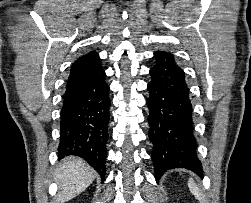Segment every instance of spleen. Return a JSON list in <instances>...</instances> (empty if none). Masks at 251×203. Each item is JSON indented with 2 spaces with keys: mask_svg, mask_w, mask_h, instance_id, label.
Here are the masks:
<instances>
[{
  "mask_svg": "<svg viewBox=\"0 0 251 203\" xmlns=\"http://www.w3.org/2000/svg\"><path fill=\"white\" fill-rule=\"evenodd\" d=\"M188 186H189V189H190L191 193H192L198 200H201V199H202V195H201V193L199 192V189H198L197 185L194 183V181H193L192 179L189 180Z\"/></svg>",
  "mask_w": 251,
  "mask_h": 203,
  "instance_id": "3e777b00",
  "label": "spleen"
}]
</instances>
